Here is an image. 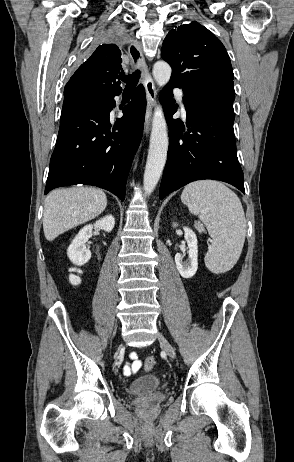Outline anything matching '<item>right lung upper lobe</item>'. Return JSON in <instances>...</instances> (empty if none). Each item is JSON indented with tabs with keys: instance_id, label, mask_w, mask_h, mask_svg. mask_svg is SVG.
I'll return each instance as SVG.
<instances>
[{
	"instance_id": "right-lung-upper-lobe-1",
	"label": "right lung upper lobe",
	"mask_w": 294,
	"mask_h": 462,
	"mask_svg": "<svg viewBox=\"0 0 294 462\" xmlns=\"http://www.w3.org/2000/svg\"><path fill=\"white\" fill-rule=\"evenodd\" d=\"M121 51L115 44L99 45L73 74L64 88V100L76 96L102 97L122 91L119 74L123 73Z\"/></svg>"
}]
</instances>
